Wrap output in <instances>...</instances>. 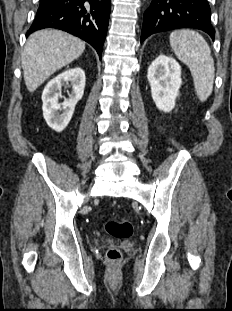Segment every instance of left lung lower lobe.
I'll return each instance as SVG.
<instances>
[{"label":"left lung lower lobe","mask_w":232,"mask_h":311,"mask_svg":"<svg viewBox=\"0 0 232 311\" xmlns=\"http://www.w3.org/2000/svg\"><path fill=\"white\" fill-rule=\"evenodd\" d=\"M210 17L207 0H152L144 14L141 42L154 33L178 28L200 29L214 39Z\"/></svg>","instance_id":"obj_1"}]
</instances>
